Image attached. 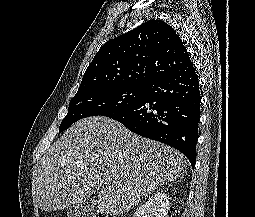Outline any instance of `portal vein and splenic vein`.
<instances>
[{"instance_id":"portal-vein-and-splenic-vein-1","label":"portal vein and splenic vein","mask_w":255,"mask_h":217,"mask_svg":"<svg viewBox=\"0 0 255 217\" xmlns=\"http://www.w3.org/2000/svg\"><path fill=\"white\" fill-rule=\"evenodd\" d=\"M102 183L107 184V180L106 179L102 180Z\"/></svg>"}]
</instances>
